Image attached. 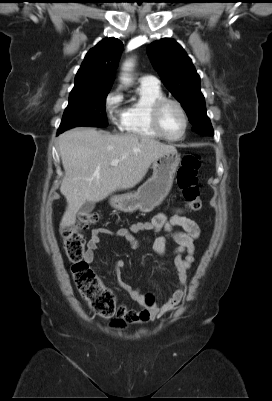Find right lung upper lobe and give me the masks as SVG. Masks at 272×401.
<instances>
[{"instance_id": "obj_1", "label": "right lung upper lobe", "mask_w": 272, "mask_h": 401, "mask_svg": "<svg viewBox=\"0 0 272 401\" xmlns=\"http://www.w3.org/2000/svg\"><path fill=\"white\" fill-rule=\"evenodd\" d=\"M122 48V42L111 37L103 39L90 49L76 74L75 86L70 96L111 88Z\"/></svg>"}]
</instances>
